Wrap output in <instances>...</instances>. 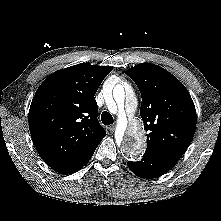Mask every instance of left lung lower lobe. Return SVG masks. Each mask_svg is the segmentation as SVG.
<instances>
[{
    "label": "left lung lower lobe",
    "mask_w": 221,
    "mask_h": 221,
    "mask_svg": "<svg viewBox=\"0 0 221 221\" xmlns=\"http://www.w3.org/2000/svg\"><path fill=\"white\" fill-rule=\"evenodd\" d=\"M175 163L158 158L150 154H144L141 161L128 162V167L137 176L142 178L159 177L174 167Z\"/></svg>",
    "instance_id": "left-lung-lower-lobe-1"
}]
</instances>
